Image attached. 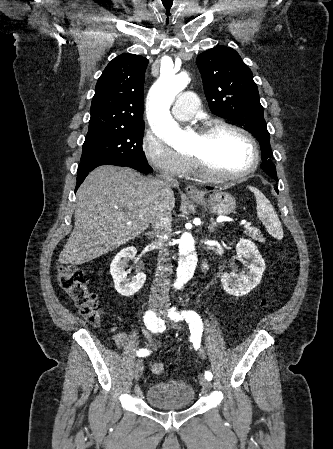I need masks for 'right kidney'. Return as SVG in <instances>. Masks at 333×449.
Segmentation results:
<instances>
[{
    "label": "right kidney",
    "instance_id": "obj_1",
    "mask_svg": "<svg viewBox=\"0 0 333 449\" xmlns=\"http://www.w3.org/2000/svg\"><path fill=\"white\" fill-rule=\"evenodd\" d=\"M135 247H127L122 249L114 257L110 264V273L112 275L116 291L125 297L134 295L141 289L146 280V274L139 272L132 279L127 277L128 272L125 271L127 262L136 256Z\"/></svg>",
    "mask_w": 333,
    "mask_h": 449
}]
</instances>
